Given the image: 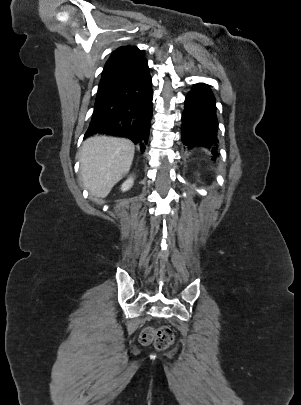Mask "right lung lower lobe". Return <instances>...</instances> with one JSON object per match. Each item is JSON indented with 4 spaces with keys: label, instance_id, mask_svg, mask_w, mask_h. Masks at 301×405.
Returning <instances> with one entry per match:
<instances>
[{
    "label": "right lung lower lobe",
    "instance_id": "98d812e1",
    "mask_svg": "<svg viewBox=\"0 0 301 405\" xmlns=\"http://www.w3.org/2000/svg\"><path fill=\"white\" fill-rule=\"evenodd\" d=\"M152 79L143 59L121 82L96 98L85 137H127L145 150L152 117Z\"/></svg>",
    "mask_w": 301,
    "mask_h": 405
}]
</instances>
